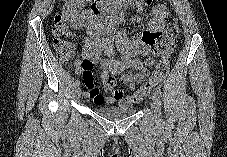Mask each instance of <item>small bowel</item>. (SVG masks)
Returning <instances> with one entry per match:
<instances>
[{"mask_svg":"<svg viewBox=\"0 0 227 157\" xmlns=\"http://www.w3.org/2000/svg\"><path fill=\"white\" fill-rule=\"evenodd\" d=\"M142 1L145 4L151 2V0ZM168 14L169 9L166 4H156L146 28L133 41L123 32L110 35L90 31L82 48L83 60L75 62L76 73L83 76L85 85L83 95L86 99L95 105L121 103L124 90L116 89V76L131 69L132 73L122 78L123 85L130 88L143 80L145 64L140 56L148 54L150 47L155 44L165 26ZM117 53L120 57H116ZM93 66H99L101 69V81L106 96L94 85L91 72Z\"/></svg>","mask_w":227,"mask_h":157,"instance_id":"small-bowel-1","label":"small bowel"}]
</instances>
